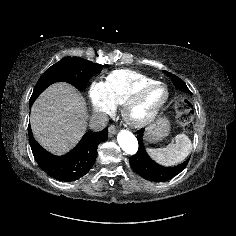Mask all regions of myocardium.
Returning a JSON list of instances; mask_svg holds the SVG:
<instances>
[{"mask_svg": "<svg viewBox=\"0 0 236 236\" xmlns=\"http://www.w3.org/2000/svg\"><path fill=\"white\" fill-rule=\"evenodd\" d=\"M160 88L163 90V96L155 104H153L148 112L143 116L137 117L133 114L134 109L139 106L142 101L147 97V95ZM169 99V90L168 87L162 83L155 81L153 83L144 85L134 92L123 104H122V116L125 122L133 128H143L151 124L156 117L158 116L161 108Z\"/></svg>", "mask_w": 236, "mask_h": 236, "instance_id": "obj_1", "label": "myocardium"}]
</instances>
